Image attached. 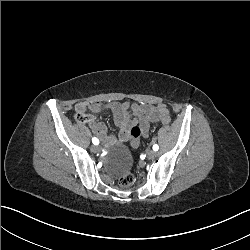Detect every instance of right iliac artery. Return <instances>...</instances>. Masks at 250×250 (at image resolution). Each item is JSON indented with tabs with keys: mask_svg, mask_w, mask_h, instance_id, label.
Instances as JSON below:
<instances>
[{
	"mask_svg": "<svg viewBox=\"0 0 250 250\" xmlns=\"http://www.w3.org/2000/svg\"><path fill=\"white\" fill-rule=\"evenodd\" d=\"M92 142L94 145H98L99 144V140L97 138H92Z\"/></svg>",
	"mask_w": 250,
	"mask_h": 250,
	"instance_id": "obj_1",
	"label": "right iliac artery"
}]
</instances>
